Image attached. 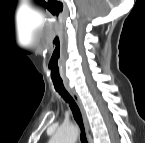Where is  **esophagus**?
I'll return each instance as SVG.
<instances>
[{
	"label": "esophagus",
	"instance_id": "1",
	"mask_svg": "<svg viewBox=\"0 0 145 143\" xmlns=\"http://www.w3.org/2000/svg\"><path fill=\"white\" fill-rule=\"evenodd\" d=\"M65 88L67 89V91L69 92V94L72 96V98L76 102L77 106L79 107L85 130L88 133V131H89L88 120H87L85 109L83 107L80 97L78 96L76 91L72 87H70L68 84H65Z\"/></svg>",
	"mask_w": 145,
	"mask_h": 143
}]
</instances>
